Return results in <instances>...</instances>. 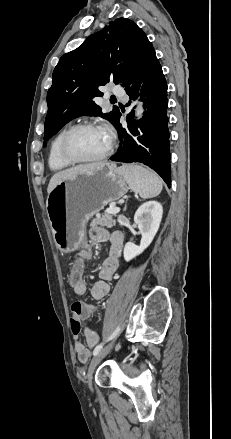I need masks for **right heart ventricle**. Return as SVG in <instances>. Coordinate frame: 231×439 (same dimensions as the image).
Returning <instances> with one entry per match:
<instances>
[{
  "label": "right heart ventricle",
  "instance_id": "obj_1",
  "mask_svg": "<svg viewBox=\"0 0 231 439\" xmlns=\"http://www.w3.org/2000/svg\"><path fill=\"white\" fill-rule=\"evenodd\" d=\"M66 130L67 129L61 130L50 143L48 150V166L52 171H61L71 165L61 157L59 152V143Z\"/></svg>",
  "mask_w": 231,
  "mask_h": 439
}]
</instances>
